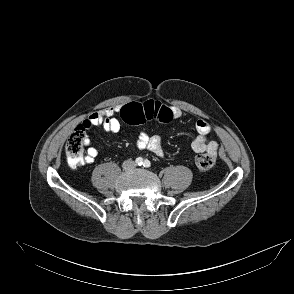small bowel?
<instances>
[{"mask_svg": "<svg viewBox=\"0 0 294 294\" xmlns=\"http://www.w3.org/2000/svg\"><path fill=\"white\" fill-rule=\"evenodd\" d=\"M121 108V106H112L94 112L83 121L81 126L84 130H88L95 126H101L107 132L117 133L121 128V123L118 118ZM170 109L173 119H178L182 116V111L177 106H172ZM195 127L197 136L192 142L193 150L197 153L207 152L215 155L217 153L218 144L216 141L208 138L211 130L209 123L204 120H198ZM85 143L88 148L84 160L85 163L91 164L97 157L98 150L90 145V140L88 138H86ZM136 146L140 150H148L159 157L164 156L162 139L157 135H150L146 131L140 132L136 140Z\"/></svg>", "mask_w": 294, "mask_h": 294, "instance_id": "c3829d8e", "label": "small bowel"}]
</instances>
